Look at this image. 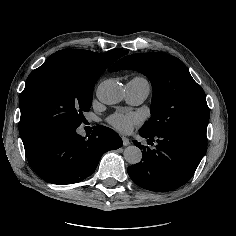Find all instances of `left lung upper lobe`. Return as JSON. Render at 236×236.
<instances>
[{"label": "left lung upper lobe", "mask_w": 236, "mask_h": 236, "mask_svg": "<svg viewBox=\"0 0 236 236\" xmlns=\"http://www.w3.org/2000/svg\"><path fill=\"white\" fill-rule=\"evenodd\" d=\"M121 69L144 74L153 87L151 118L140 133L155 136L169 130L206 138V95L181 60L158 52L132 54L117 61L109 71Z\"/></svg>", "instance_id": "5c2ea615"}]
</instances>
